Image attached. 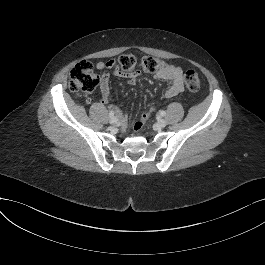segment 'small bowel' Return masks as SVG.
Listing matches in <instances>:
<instances>
[{
    "instance_id": "1",
    "label": "small bowel",
    "mask_w": 265,
    "mask_h": 265,
    "mask_svg": "<svg viewBox=\"0 0 265 265\" xmlns=\"http://www.w3.org/2000/svg\"><path fill=\"white\" fill-rule=\"evenodd\" d=\"M97 68L99 70H104V73L101 77L100 81V93H101V103L109 104L110 98V80H109V71L112 70L113 74L119 77L126 78L127 82L130 85H134L137 83L141 72H133L130 74L123 73L115 60H109L106 62L100 61L97 63ZM155 77L157 79H161L169 82V86L165 90V96L167 98H172L183 92L184 84H183V70L175 65H167L165 69L156 72ZM87 104L92 103L91 98H87ZM118 116L122 125H126L129 122V116L125 114L120 108L110 105L109 106Z\"/></svg>"
}]
</instances>
